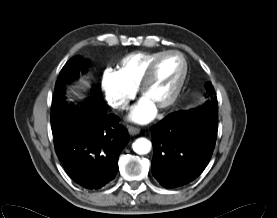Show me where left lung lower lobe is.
<instances>
[{
	"label": "left lung lower lobe",
	"instance_id": "obj_1",
	"mask_svg": "<svg viewBox=\"0 0 277 218\" xmlns=\"http://www.w3.org/2000/svg\"><path fill=\"white\" fill-rule=\"evenodd\" d=\"M218 107H202L169 114L151 127L152 175L166 188L185 185L207 166L216 142Z\"/></svg>",
	"mask_w": 277,
	"mask_h": 218
}]
</instances>
